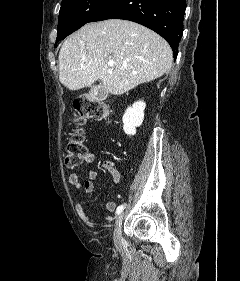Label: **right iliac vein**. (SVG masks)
Here are the masks:
<instances>
[{
	"mask_svg": "<svg viewBox=\"0 0 240 281\" xmlns=\"http://www.w3.org/2000/svg\"><path fill=\"white\" fill-rule=\"evenodd\" d=\"M123 217H124V214L119 213V215L117 216L116 221H115L113 240L117 247H121L122 242H123L122 234H121V226H122V222H123Z\"/></svg>",
	"mask_w": 240,
	"mask_h": 281,
	"instance_id": "right-iliac-vein-1",
	"label": "right iliac vein"
}]
</instances>
